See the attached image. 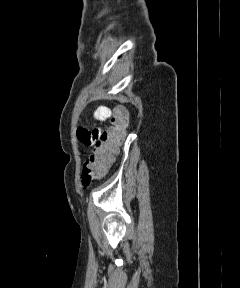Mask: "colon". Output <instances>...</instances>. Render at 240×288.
<instances>
[{
	"label": "colon",
	"mask_w": 240,
	"mask_h": 288,
	"mask_svg": "<svg viewBox=\"0 0 240 288\" xmlns=\"http://www.w3.org/2000/svg\"><path fill=\"white\" fill-rule=\"evenodd\" d=\"M128 125V113L123 107H117L111 118V126L101 133L92 154L82 169V183L89 186L100 179L119 151Z\"/></svg>",
	"instance_id": "1"
}]
</instances>
